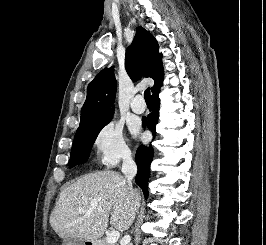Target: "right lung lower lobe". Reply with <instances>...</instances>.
Returning <instances> with one entry per match:
<instances>
[{
	"instance_id": "right-lung-lower-lobe-1",
	"label": "right lung lower lobe",
	"mask_w": 266,
	"mask_h": 245,
	"mask_svg": "<svg viewBox=\"0 0 266 245\" xmlns=\"http://www.w3.org/2000/svg\"><path fill=\"white\" fill-rule=\"evenodd\" d=\"M159 92L156 91L152 95V105L153 109L152 112L148 115L147 119H143V127L147 126L153 133V136L156 135V124L158 122V115H159ZM153 158V149L151 146L147 147L144 145H140L137 149L135 161L138 166V173L136 175L135 181L137 185L142 189L145 198H148V188L147 182L150 176V163Z\"/></svg>"
}]
</instances>
